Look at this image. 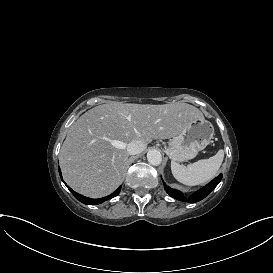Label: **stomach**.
Segmentation results:
<instances>
[{
	"mask_svg": "<svg viewBox=\"0 0 273 273\" xmlns=\"http://www.w3.org/2000/svg\"><path fill=\"white\" fill-rule=\"evenodd\" d=\"M213 135L214 127L209 121L204 118L193 120L169 141L165 153L177 162L193 159L206 148Z\"/></svg>",
	"mask_w": 273,
	"mask_h": 273,
	"instance_id": "stomach-1",
	"label": "stomach"
}]
</instances>
